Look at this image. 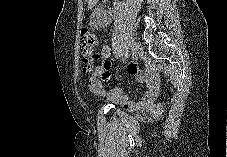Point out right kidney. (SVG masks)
Segmentation results:
<instances>
[{"label": "right kidney", "instance_id": "ca27d5eb", "mask_svg": "<svg viewBox=\"0 0 227 157\" xmlns=\"http://www.w3.org/2000/svg\"><path fill=\"white\" fill-rule=\"evenodd\" d=\"M97 12H99V9H96V10H95V13H97Z\"/></svg>", "mask_w": 227, "mask_h": 157}]
</instances>
